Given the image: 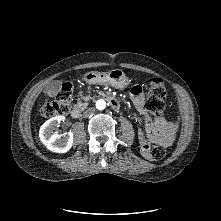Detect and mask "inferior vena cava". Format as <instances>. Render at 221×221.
Returning a JSON list of instances; mask_svg holds the SVG:
<instances>
[{
	"label": "inferior vena cava",
	"instance_id": "1",
	"mask_svg": "<svg viewBox=\"0 0 221 221\" xmlns=\"http://www.w3.org/2000/svg\"><path fill=\"white\" fill-rule=\"evenodd\" d=\"M95 112V108L94 107H90L88 108L86 111H84L83 116L84 117H90L94 114Z\"/></svg>",
	"mask_w": 221,
	"mask_h": 221
}]
</instances>
